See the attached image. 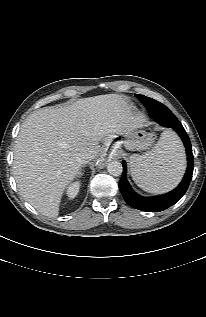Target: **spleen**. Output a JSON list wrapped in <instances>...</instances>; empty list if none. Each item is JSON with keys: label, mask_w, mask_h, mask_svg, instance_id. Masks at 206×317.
Here are the masks:
<instances>
[{"label": "spleen", "mask_w": 206, "mask_h": 317, "mask_svg": "<svg viewBox=\"0 0 206 317\" xmlns=\"http://www.w3.org/2000/svg\"><path fill=\"white\" fill-rule=\"evenodd\" d=\"M185 169V153L178 136L165 131L152 150L134 154L130 171L134 182L150 193H164L181 180Z\"/></svg>", "instance_id": "3e777b00"}]
</instances>
